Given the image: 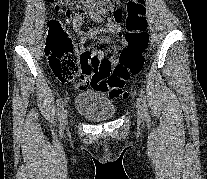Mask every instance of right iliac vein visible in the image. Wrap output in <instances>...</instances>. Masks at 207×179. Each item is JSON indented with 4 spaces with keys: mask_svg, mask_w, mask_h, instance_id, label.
Wrapping results in <instances>:
<instances>
[{
    "mask_svg": "<svg viewBox=\"0 0 207 179\" xmlns=\"http://www.w3.org/2000/svg\"><path fill=\"white\" fill-rule=\"evenodd\" d=\"M67 123V111L64 109L61 119V128H64Z\"/></svg>",
    "mask_w": 207,
    "mask_h": 179,
    "instance_id": "obj_1",
    "label": "right iliac vein"
}]
</instances>
